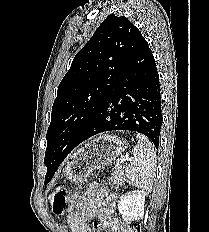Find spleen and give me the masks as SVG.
Masks as SVG:
<instances>
[{"label": "spleen", "instance_id": "1", "mask_svg": "<svg viewBox=\"0 0 209 232\" xmlns=\"http://www.w3.org/2000/svg\"><path fill=\"white\" fill-rule=\"evenodd\" d=\"M138 144L132 149L133 159L126 166L125 174L129 183L144 192H150L156 171V153L144 135L137 134Z\"/></svg>", "mask_w": 209, "mask_h": 232}]
</instances>
